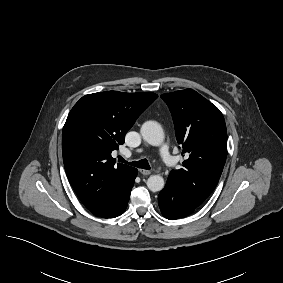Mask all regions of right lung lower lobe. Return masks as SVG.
Masks as SVG:
<instances>
[{
  "mask_svg": "<svg viewBox=\"0 0 283 283\" xmlns=\"http://www.w3.org/2000/svg\"><path fill=\"white\" fill-rule=\"evenodd\" d=\"M136 175H137V172L134 174L133 179L131 183L129 184V186L127 187L126 192L108 210L96 216H99L102 218H114V217H117L123 214V212L125 211L127 207V203L129 201L131 189L134 185Z\"/></svg>",
  "mask_w": 283,
  "mask_h": 283,
  "instance_id": "obj_1",
  "label": "right lung lower lobe"
}]
</instances>
